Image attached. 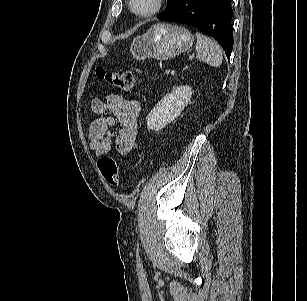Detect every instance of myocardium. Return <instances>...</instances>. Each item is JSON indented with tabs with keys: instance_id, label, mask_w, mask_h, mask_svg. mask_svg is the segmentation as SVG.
Masks as SVG:
<instances>
[{
	"instance_id": "myocardium-1",
	"label": "myocardium",
	"mask_w": 307,
	"mask_h": 301,
	"mask_svg": "<svg viewBox=\"0 0 307 301\" xmlns=\"http://www.w3.org/2000/svg\"><path fill=\"white\" fill-rule=\"evenodd\" d=\"M133 2H134V0H129L128 1V7L134 15L141 17V18H148V17L156 15L157 13H159L163 9V7L165 5V0H156L155 5L151 10H149L147 12H139V11L135 10V8L133 6Z\"/></svg>"
}]
</instances>
